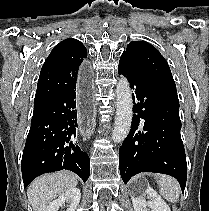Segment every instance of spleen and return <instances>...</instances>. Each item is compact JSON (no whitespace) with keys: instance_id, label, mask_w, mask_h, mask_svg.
Returning a JSON list of instances; mask_svg holds the SVG:
<instances>
[{"instance_id":"obj_1","label":"spleen","mask_w":209,"mask_h":211,"mask_svg":"<svg viewBox=\"0 0 209 211\" xmlns=\"http://www.w3.org/2000/svg\"><path fill=\"white\" fill-rule=\"evenodd\" d=\"M157 179L160 194L169 202H178L180 195V186L178 181L171 176L163 174L159 175Z\"/></svg>"}]
</instances>
